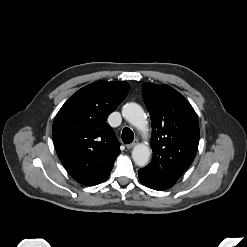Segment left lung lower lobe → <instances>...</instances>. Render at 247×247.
Instances as JSON below:
<instances>
[{
	"mask_svg": "<svg viewBox=\"0 0 247 247\" xmlns=\"http://www.w3.org/2000/svg\"><path fill=\"white\" fill-rule=\"evenodd\" d=\"M139 179L143 185L151 189L161 191L170 188V186L164 183L163 181L159 180L154 176L147 174L141 169L139 170Z\"/></svg>",
	"mask_w": 247,
	"mask_h": 247,
	"instance_id": "1",
	"label": "left lung lower lobe"
}]
</instances>
